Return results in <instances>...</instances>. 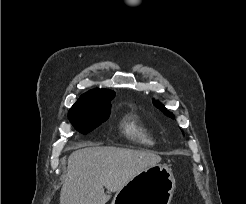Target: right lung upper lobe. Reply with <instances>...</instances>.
Returning <instances> with one entry per match:
<instances>
[{
  "mask_svg": "<svg viewBox=\"0 0 246 204\" xmlns=\"http://www.w3.org/2000/svg\"><path fill=\"white\" fill-rule=\"evenodd\" d=\"M112 96H115V93L113 91L106 90V89H94L83 94L78 99V101L72 106V108L84 106L85 104L89 103L91 100H95L99 98H109Z\"/></svg>",
  "mask_w": 246,
  "mask_h": 204,
  "instance_id": "obj_1",
  "label": "right lung upper lobe"
}]
</instances>
